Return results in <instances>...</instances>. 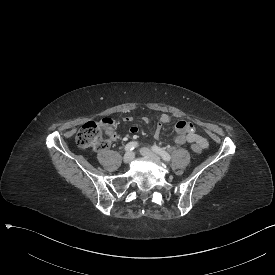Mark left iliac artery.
<instances>
[{
	"label": "left iliac artery",
	"mask_w": 275,
	"mask_h": 275,
	"mask_svg": "<svg viewBox=\"0 0 275 275\" xmlns=\"http://www.w3.org/2000/svg\"><path fill=\"white\" fill-rule=\"evenodd\" d=\"M152 150H153L154 152H156L157 154H159V155L162 157L163 160H165V161H167V162L170 161V159H171L170 154H169L168 152H166L165 150H163L162 148H160V147L154 145V146L152 147Z\"/></svg>",
	"instance_id": "obj_1"
}]
</instances>
